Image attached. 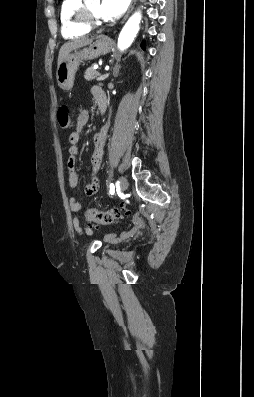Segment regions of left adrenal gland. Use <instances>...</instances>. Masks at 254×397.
Masks as SVG:
<instances>
[{
  "instance_id": "a2214340",
  "label": "left adrenal gland",
  "mask_w": 254,
  "mask_h": 397,
  "mask_svg": "<svg viewBox=\"0 0 254 397\" xmlns=\"http://www.w3.org/2000/svg\"><path fill=\"white\" fill-rule=\"evenodd\" d=\"M120 66L119 65H115V67H114V69H113V76L114 77H117L118 76V73H119V70H120Z\"/></svg>"
}]
</instances>
